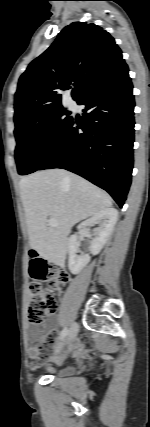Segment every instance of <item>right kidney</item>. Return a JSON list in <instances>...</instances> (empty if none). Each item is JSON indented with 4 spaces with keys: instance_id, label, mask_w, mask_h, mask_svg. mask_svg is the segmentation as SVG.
<instances>
[{
    "instance_id": "ca27d5eb",
    "label": "right kidney",
    "mask_w": 150,
    "mask_h": 427,
    "mask_svg": "<svg viewBox=\"0 0 150 427\" xmlns=\"http://www.w3.org/2000/svg\"><path fill=\"white\" fill-rule=\"evenodd\" d=\"M118 211L114 208L105 209L90 219L82 222L78 229L85 231L86 228L95 223H99V228L95 229V236L92 238L90 243L91 254L97 255L107 242L111 232L117 222ZM87 236H90L86 233ZM80 242L77 235H72L68 241V267L72 274H78L80 271L90 262V256L88 254L78 255L80 252Z\"/></svg>"
}]
</instances>
